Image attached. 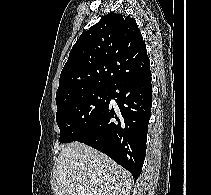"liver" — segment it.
I'll list each match as a JSON object with an SVG mask.
<instances>
[{
  "instance_id": "6515ba94",
  "label": "liver",
  "mask_w": 211,
  "mask_h": 195,
  "mask_svg": "<svg viewBox=\"0 0 211 195\" xmlns=\"http://www.w3.org/2000/svg\"><path fill=\"white\" fill-rule=\"evenodd\" d=\"M131 174L107 155L80 142L62 147L55 195H129Z\"/></svg>"
}]
</instances>
